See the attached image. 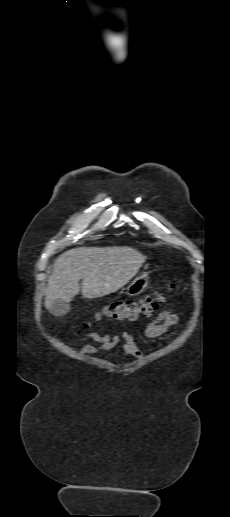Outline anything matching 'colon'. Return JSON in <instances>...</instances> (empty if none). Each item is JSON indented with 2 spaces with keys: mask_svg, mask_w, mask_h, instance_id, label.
Listing matches in <instances>:
<instances>
[{
  "mask_svg": "<svg viewBox=\"0 0 230 517\" xmlns=\"http://www.w3.org/2000/svg\"><path fill=\"white\" fill-rule=\"evenodd\" d=\"M175 287L169 282L165 292H170ZM165 292H156L139 301H116L104 306L97 318L107 317L119 321H134L141 316H150L165 300Z\"/></svg>",
  "mask_w": 230,
  "mask_h": 517,
  "instance_id": "5ec220e1",
  "label": "colon"
}]
</instances>
